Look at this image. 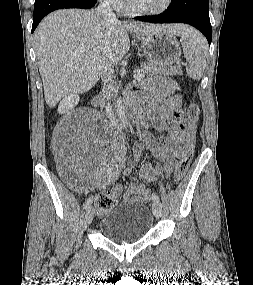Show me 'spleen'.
I'll return each instance as SVG.
<instances>
[{"mask_svg": "<svg viewBox=\"0 0 253 285\" xmlns=\"http://www.w3.org/2000/svg\"><path fill=\"white\" fill-rule=\"evenodd\" d=\"M180 37L183 54L189 62L186 72L190 78L200 80L206 67L207 41L201 33L191 27L181 32Z\"/></svg>", "mask_w": 253, "mask_h": 285, "instance_id": "1", "label": "spleen"}]
</instances>
